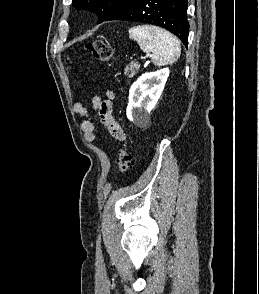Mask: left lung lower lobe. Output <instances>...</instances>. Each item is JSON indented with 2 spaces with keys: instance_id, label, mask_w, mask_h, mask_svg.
Returning <instances> with one entry per match:
<instances>
[{
  "instance_id": "left-lung-lower-lobe-1",
  "label": "left lung lower lobe",
  "mask_w": 259,
  "mask_h": 294,
  "mask_svg": "<svg viewBox=\"0 0 259 294\" xmlns=\"http://www.w3.org/2000/svg\"><path fill=\"white\" fill-rule=\"evenodd\" d=\"M110 20L154 24L169 30L185 46L188 45L187 0H127L115 8L104 21Z\"/></svg>"
}]
</instances>
